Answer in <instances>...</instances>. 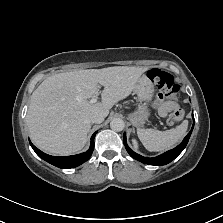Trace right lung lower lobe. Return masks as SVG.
I'll use <instances>...</instances> for the list:
<instances>
[{
	"mask_svg": "<svg viewBox=\"0 0 223 223\" xmlns=\"http://www.w3.org/2000/svg\"><path fill=\"white\" fill-rule=\"evenodd\" d=\"M97 132H95L92 137H91V146L89 150H87L84 153L77 154V155H72V156H61V157H56V156H50L48 154L43 153L40 151L38 148H36L31 142L30 145L35 151V153L42 158L43 160L47 161L48 163L62 168H73L81 165L85 161H87L90 156L92 155L93 149H94V138Z\"/></svg>",
	"mask_w": 223,
	"mask_h": 223,
	"instance_id": "1",
	"label": "right lung lower lobe"
}]
</instances>
